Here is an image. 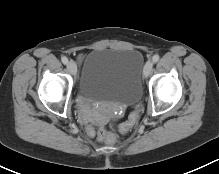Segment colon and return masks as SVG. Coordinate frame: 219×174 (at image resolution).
<instances>
[{"label": "colon", "instance_id": "colon-1", "mask_svg": "<svg viewBox=\"0 0 219 174\" xmlns=\"http://www.w3.org/2000/svg\"><path fill=\"white\" fill-rule=\"evenodd\" d=\"M138 112L134 111L128 118V120L126 122H124L121 126H120V132L121 133H127L130 131V129L134 126V124L137 122L138 120ZM87 134L91 137H97L99 140L101 141H105L109 144H113L116 140V135L114 132L109 131L107 129H105L104 127H98V128H94L93 126H88L87 129Z\"/></svg>", "mask_w": 219, "mask_h": 174}]
</instances>
